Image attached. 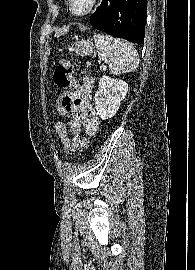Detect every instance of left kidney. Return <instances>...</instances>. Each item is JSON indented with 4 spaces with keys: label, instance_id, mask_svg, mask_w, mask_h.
Wrapping results in <instances>:
<instances>
[{
    "label": "left kidney",
    "instance_id": "1",
    "mask_svg": "<svg viewBox=\"0 0 195 270\" xmlns=\"http://www.w3.org/2000/svg\"><path fill=\"white\" fill-rule=\"evenodd\" d=\"M128 91V84L120 79L103 75L94 100L97 114L102 120L112 118Z\"/></svg>",
    "mask_w": 195,
    "mask_h": 270
}]
</instances>
